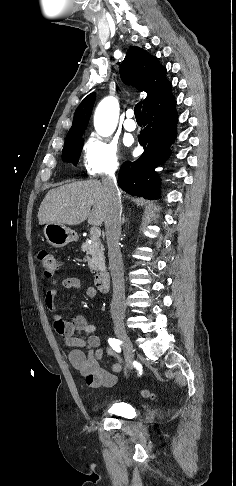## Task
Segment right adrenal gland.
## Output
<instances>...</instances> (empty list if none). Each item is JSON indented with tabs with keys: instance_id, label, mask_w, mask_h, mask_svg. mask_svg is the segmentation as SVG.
Returning a JSON list of instances; mask_svg holds the SVG:
<instances>
[{
	"instance_id": "2a0ac1e0",
	"label": "right adrenal gland",
	"mask_w": 236,
	"mask_h": 486,
	"mask_svg": "<svg viewBox=\"0 0 236 486\" xmlns=\"http://www.w3.org/2000/svg\"><path fill=\"white\" fill-rule=\"evenodd\" d=\"M122 223L124 224L125 223V216L123 214V217H122Z\"/></svg>"
}]
</instances>
